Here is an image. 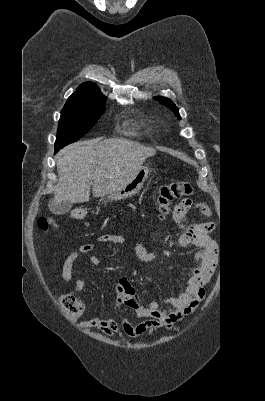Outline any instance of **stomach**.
Here are the masks:
<instances>
[{"instance_id": "obj_1", "label": "stomach", "mask_w": 265, "mask_h": 401, "mask_svg": "<svg viewBox=\"0 0 265 401\" xmlns=\"http://www.w3.org/2000/svg\"><path fill=\"white\" fill-rule=\"evenodd\" d=\"M148 174V166H141L139 170H136L130 180H127L125 184H122L121 188H117L114 192L107 194L105 203H107V201H121V198H129V196H133V194L139 192L146 178H148Z\"/></svg>"}]
</instances>
